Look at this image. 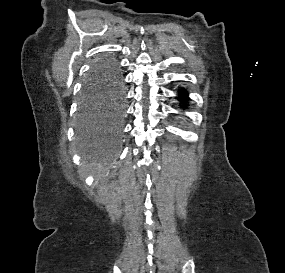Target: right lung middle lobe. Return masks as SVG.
<instances>
[{
  "label": "right lung middle lobe",
  "instance_id": "1",
  "mask_svg": "<svg viewBox=\"0 0 285 273\" xmlns=\"http://www.w3.org/2000/svg\"><path fill=\"white\" fill-rule=\"evenodd\" d=\"M121 78L112 60L103 58L98 60L87 75L82 88L80 100V124L79 127L92 132L95 129L94 115L102 107L106 98L114 96L112 113L116 119L121 116L119 107V87Z\"/></svg>",
  "mask_w": 285,
  "mask_h": 273
}]
</instances>
